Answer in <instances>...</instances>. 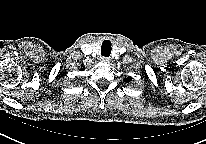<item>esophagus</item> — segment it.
<instances>
[{
    "instance_id": "1",
    "label": "esophagus",
    "mask_w": 206,
    "mask_h": 144,
    "mask_svg": "<svg viewBox=\"0 0 206 144\" xmlns=\"http://www.w3.org/2000/svg\"><path fill=\"white\" fill-rule=\"evenodd\" d=\"M101 60L102 62H105V63H109L110 62V58L109 57H101Z\"/></svg>"
}]
</instances>
